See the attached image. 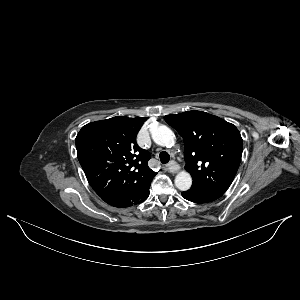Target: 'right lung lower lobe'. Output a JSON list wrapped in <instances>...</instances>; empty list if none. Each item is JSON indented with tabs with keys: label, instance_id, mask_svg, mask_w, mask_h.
<instances>
[{
	"label": "right lung lower lobe",
	"instance_id": "1",
	"mask_svg": "<svg viewBox=\"0 0 300 300\" xmlns=\"http://www.w3.org/2000/svg\"><path fill=\"white\" fill-rule=\"evenodd\" d=\"M149 188H150V184L143 189L127 190L103 200L107 204L113 207H117V208L130 207L145 201L149 196Z\"/></svg>",
	"mask_w": 300,
	"mask_h": 300
}]
</instances>
